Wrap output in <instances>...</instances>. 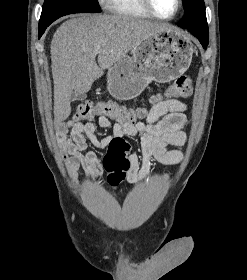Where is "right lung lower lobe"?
Instances as JSON below:
<instances>
[{"label": "right lung lower lobe", "mask_w": 247, "mask_h": 280, "mask_svg": "<svg viewBox=\"0 0 247 280\" xmlns=\"http://www.w3.org/2000/svg\"><path fill=\"white\" fill-rule=\"evenodd\" d=\"M48 26L45 27H39V38L42 36V34L44 33V31L46 30Z\"/></svg>", "instance_id": "obj_1"}]
</instances>
